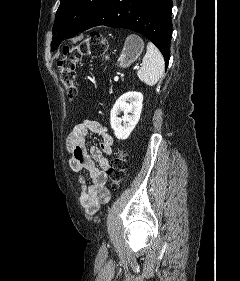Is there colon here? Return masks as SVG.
Listing matches in <instances>:
<instances>
[{
  "mask_svg": "<svg viewBox=\"0 0 240 281\" xmlns=\"http://www.w3.org/2000/svg\"><path fill=\"white\" fill-rule=\"evenodd\" d=\"M108 48L107 39L100 33L93 32L89 37L64 50L62 58L58 61V69L61 82L65 86L69 98H74L77 93L75 81L78 62L87 55L107 59ZM126 169V154L124 151H119L108 169L109 181L113 188L122 183Z\"/></svg>",
  "mask_w": 240,
  "mask_h": 281,
  "instance_id": "obj_1",
  "label": "colon"
}]
</instances>
